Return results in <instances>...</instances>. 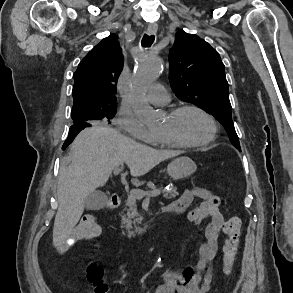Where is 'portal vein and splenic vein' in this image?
<instances>
[{"label": "portal vein and splenic vein", "instance_id": "1", "mask_svg": "<svg viewBox=\"0 0 293 293\" xmlns=\"http://www.w3.org/2000/svg\"><path fill=\"white\" fill-rule=\"evenodd\" d=\"M119 172H120V168L118 167L113 170L114 175L119 174ZM132 192L137 199H142L144 197H157L161 194L160 190H152L148 192H143L138 189H134L132 190Z\"/></svg>", "mask_w": 293, "mask_h": 293}]
</instances>
